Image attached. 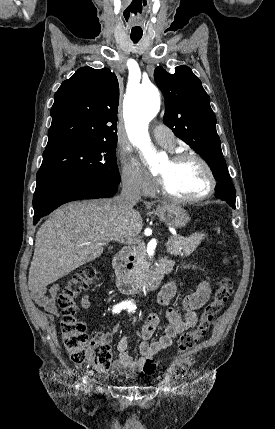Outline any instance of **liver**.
I'll return each instance as SVG.
<instances>
[{"label": "liver", "instance_id": "6515ba94", "mask_svg": "<svg viewBox=\"0 0 275 429\" xmlns=\"http://www.w3.org/2000/svg\"><path fill=\"white\" fill-rule=\"evenodd\" d=\"M73 202L56 210L36 234L28 286L42 292L58 279L95 260L115 235L137 236L142 218L134 210H122L116 200Z\"/></svg>", "mask_w": 275, "mask_h": 429}]
</instances>
